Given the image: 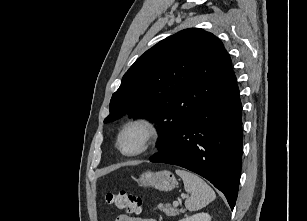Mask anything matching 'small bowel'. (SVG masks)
Listing matches in <instances>:
<instances>
[{"mask_svg":"<svg viewBox=\"0 0 307 221\" xmlns=\"http://www.w3.org/2000/svg\"><path fill=\"white\" fill-rule=\"evenodd\" d=\"M116 221H156L154 219H143L136 215L121 214L117 217Z\"/></svg>","mask_w":307,"mask_h":221,"instance_id":"c3829d8e","label":"small bowel"}]
</instances>
